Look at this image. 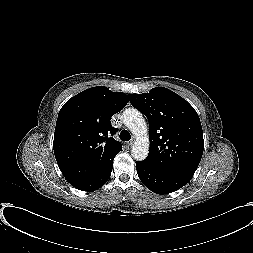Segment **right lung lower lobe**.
Masks as SVG:
<instances>
[{
	"label": "right lung lower lobe",
	"mask_w": 253,
	"mask_h": 253,
	"mask_svg": "<svg viewBox=\"0 0 253 253\" xmlns=\"http://www.w3.org/2000/svg\"><path fill=\"white\" fill-rule=\"evenodd\" d=\"M112 168H113V161L109 164L107 168H105L98 174L94 175L93 177L83 181L75 182L71 185L82 191L97 190L107 182V180L111 175Z\"/></svg>",
	"instance_id": "obj_1"
}]
</instances>
